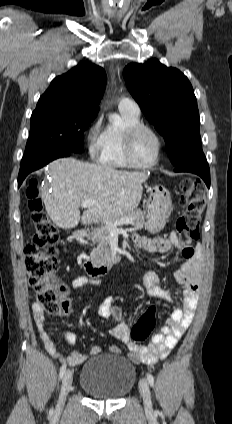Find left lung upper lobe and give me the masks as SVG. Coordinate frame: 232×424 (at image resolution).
<instances>
[{"label":"left lung upper lobe","instance_id":"obj_1","mask_svg":"<svg viewBox=\"0 0 232 424\" xmlns=\"http://www.w3.org/2000/svg\"><path fill=\"white\" fill-rule=\"evenodd\" d=\"M127 88L145 117L164 137L167 154L176 166L200 142V119L193 88L178 69L152 59L124 68Z\"/></svg>","mask_w":232,"mask_h":424}]
</instances>
